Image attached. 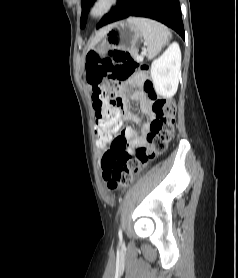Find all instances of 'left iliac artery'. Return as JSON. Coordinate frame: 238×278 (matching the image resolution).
<instances>
[{"mask_svg":"<svg viewBox=\"0 0 238 278\" xmlns=\"http://www.w3.org/2000/svg\"><path fill=\"white\" fill-rule=\"evenodd\" d=\"M118 235H119V237H121V236H122V231H121V229H120V228H119Z\"/></svg>","mask_w":238,"mask_h":278,"instance_id":"left-iliac-artery-1","label":"left iliac artery"}]
</instances>
